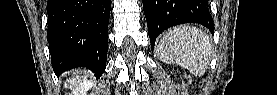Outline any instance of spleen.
Wrapping results in <instances>:
<instances>
[{"label":"spleen","mask_w":277,"mask_h":95,"mask_svg":"<svg viewBox=\"0 0 277 95\" xmlns=\"http://www.w3.org/2000/svg\"><path fill=\"white\" fill-rule=\"evenodd\" d=\"M156 51L161 61L178 64L193 75L201 76L208 68L212 44L201 29L178 26L163 36Z\"/></svg>","instance_id":"obj_1"}]
</instances>
